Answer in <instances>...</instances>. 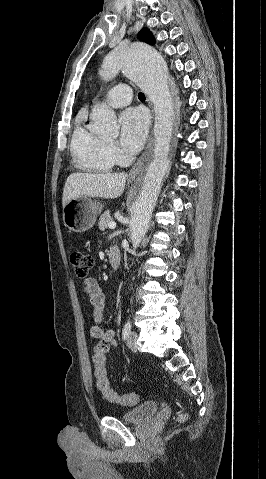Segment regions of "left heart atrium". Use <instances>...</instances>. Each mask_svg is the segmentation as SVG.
<instances>
[{"label": "left heart atrium", "instance_id": "left-heart-atrium-1", "mask_svg": "<svg viewBox=\"0 0 266 479\" xmlns=\"http://www.w3.org/2000/svg\"><path fill=\"white\" fill-rule=\"evenodd\" d=\"M121 145L128 153H136L143 145L148 131V117L137 108H131L121 115Z\"/></svg>", "mask_w": 266, "mask_h": 479}]
</instances>
